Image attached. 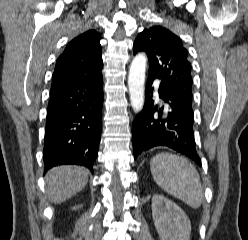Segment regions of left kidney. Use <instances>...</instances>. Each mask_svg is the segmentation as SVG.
<instances>
[{
  "mask_svg": "<svg viewBox=\"0 0 248 240\" xmlns=\"http://www.w3.org/2000/svg\"><path fill=\"white\" fill-rule=\"evenodd\" d=\"M152 216L161 240H190V220L173 201L163 195H154Z\"/></svg>",
  "mask_w": 248,
  "mask_h": 240,
  "instance_id": "1",
  "label": "left kidney"
}]
</instances>
